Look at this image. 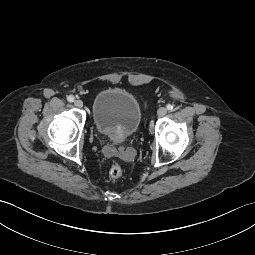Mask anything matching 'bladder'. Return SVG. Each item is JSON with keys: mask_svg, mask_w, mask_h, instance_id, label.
<instances>
[{"mask_svg": "<svg viewBox=\"0 0 255 255\" xmlns=\"http://www.w3.org/2000/svg\"><path fill=\"white\" fill-rule=\"evenodd\" d=\"M92 117L101 135L120 140L137 131L142 120V110L133 94L122 89H106L94 97Z\"/></svg>", "mask_w": 255, "mask_h": 255, "instance_id": "bladder-1", "label": "bladder"}]
</instances>
